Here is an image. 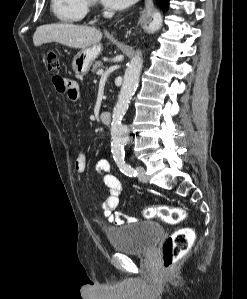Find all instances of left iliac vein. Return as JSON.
Instances as JSON below:
<instances>
[{"instance_id":"obj_1","label":"left iliac vein","mask_w":247,"mask_h":299,"mask_svg":"<svg viewBox=\"0 0 247 299\" xmlns=\"http://www.w3.org/2000/svg\"><path fill=\"white\" fill-rule=\"evenodd\" d=\"M136 170H137V175H138L139 180L142 182H147L145 168L142 166H137Z\"/></svg>"}]
</instances>
